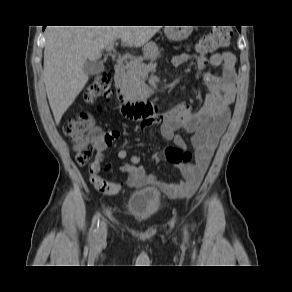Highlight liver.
I'll list each match as a JSON object with an SVG mask.
<instances>
[{
	"mask_svg": "<svg viewBox=\"0 0 292 292\" xmlns=\"http://www.w3.org/2000/svg\"><path fill=\"white\" fill-rule=\"evenodd\" d=\"M160 26H48L45 30L44 82L56 124L88 82L83 67L96 62L118 38L125 46L141 47Z\"/></svg>",
	"mask_w": 292,
	"mask_h": 292,
	"instance_id": "liver-1",
	"label": "liver"
}]
</instances>
